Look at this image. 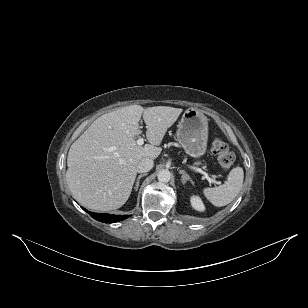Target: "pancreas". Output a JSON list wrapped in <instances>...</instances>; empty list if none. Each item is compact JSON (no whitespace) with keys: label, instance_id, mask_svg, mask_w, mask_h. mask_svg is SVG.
I'll return each mask as SVG.
<instances>
[{"label":"pancreas","instance_id":"pancreas-1","mask_svg":"<svg viewBox=\"0 0 308 308\" xmlns=\"http://www.w3.org/2000/svg\"><path fill=\"white\" fill-rule=\"evenodd\" d=\"M195 164L198 165V164H200V163H199V162H196Z\"/></svg>","mask_w":308,"mask_h":308}]
</instances>
